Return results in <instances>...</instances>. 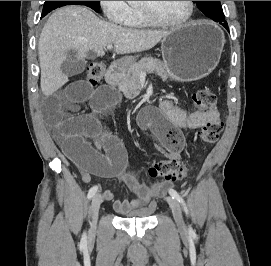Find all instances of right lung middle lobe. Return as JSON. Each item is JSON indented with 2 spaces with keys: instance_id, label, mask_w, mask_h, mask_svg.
I'll return each mask as SVG.
<instances>
[{
  "instance_id": "dd1d6c3e",
  "label": "right lung middle lobe",
  "mask_w": 271,
  "mask_h": 266,
  "mask_svg": "<svg viewBox=\"0 0 271 266\" xmlns=\"http://www.w3.org/2000/svg\"><path fill=\"white\" fill-rule=\"evenodd\" d=\"M72 4L85 5V6L92 8L96 12H98V10L100 8V1H45L44 7H43V12H42V17H44L50 11H52L58 7H62L65 5H72Z\"/></svg>"
}]
</instances>
